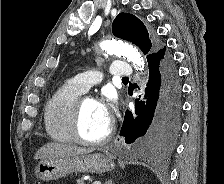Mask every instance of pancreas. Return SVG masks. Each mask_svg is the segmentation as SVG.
Instances as JSON below:
<instances>
[{
  "instance_id": "pancreas-1",
  "label": "pancreas",
  "mask_w": 224,
  "mask_h": 184,
  "mask_svg": "<svg viewBox=\"0 0 224 184\" xmlns=\"http://www.w3.org/2000/svg\"><path fill=\"white\" fill-rule=\"evenodd\" d=\"M77 184H86V183H85V180H83V179L81 178V179H78V180H77Z\"/></svg>"
}]
</instances>
